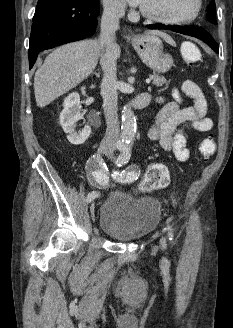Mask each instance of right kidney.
<instances>
[{
	"mask_svg": "<svg viewBox=\"0 0 233 328\" xmlns=\"http://www.w3.org/2000/svg\"><path fill=\"white\" fill-rule=\"evenodd\" d=\"M80 96L77 92L69 94L63 102V110L60 113V125L68 134L67 139L71 144H83L91 134V127L85 125L82 131H76V123L83 119L81 111Z\"/></svg>",
	"mask_w": 233,
	"mask_h": 328,
	"instance_id": "obj_1",
	"label": "right kidney"
}]
</instances>
